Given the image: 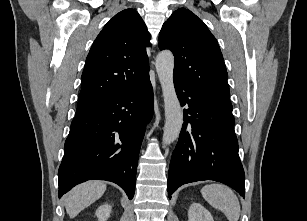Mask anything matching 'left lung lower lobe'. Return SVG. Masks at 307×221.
<instances>
[{
    "instance_id": "1",
    "label": "left lung lower lobe",
    "mask_w": 307,
    "mask_h": 221,
    "mask_svg": "<svg viewBox=\"0 0 307 221\" xmlns=\"http://www.w3.org/2000/svg\"><path fill=\"white\" fill-rule=\"evenodd\" d=\"M174 85L184 109L183 127L173 151L169 175V198L183 184L215 180L245 195V175L238 155L232 113L198 96L181 80Z\"/></svg>"
}]
</instances>
